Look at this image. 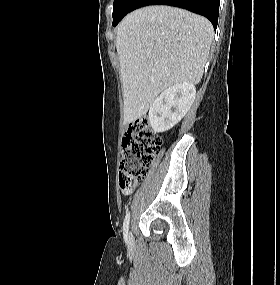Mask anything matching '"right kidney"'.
Listing matches in <instances>:
<instances>
[{
    "label": "right kidney",
    "instance_id": "right-kidney-1",
    "mask_svg": "<svg viewBox=\"0 0 280 285\" xmlns=\"http://www.w3.org/2000/svg\"><path fill=\"white\" fill-rule=\"evenodd\" d=\"M195 96V85L187 82L165 89L149 109V123L154 132L161 133L173 128L188 112Z\"/></svg>",
    "mask_w": 280,
    "mask_h": 285
}]
</instances>
